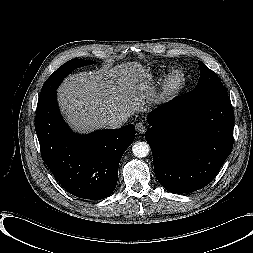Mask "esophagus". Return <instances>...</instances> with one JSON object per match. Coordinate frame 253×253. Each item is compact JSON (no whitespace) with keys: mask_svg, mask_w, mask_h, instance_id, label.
I'll list each match as a JSON object with an SVG mask.
<instances>
[{"mask_svg":"<svg viewBox=\"0 0 253 253\" xmlns=\"http://www.w3.org/2000/svg\"><path fill=\"white\" fill-rule=\"evenodd\" d=\"M135 127L139 134H143L146 131V126L142 122L137 123Z\"/></svg>","mask_w":253,"mask_h":253,"instance_id":"1","label":"esophagus"}]
</instances>
